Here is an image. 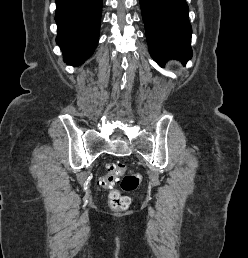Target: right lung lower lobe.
I'll return each instance as SVG.
<instances>
[{
	"label": "right lung lower lobe",
	"instance_id": "98d812e1",
	"mask_svg": "<svg viewBox=\"0 0 248 258\" xmlns=\"http://www.w3.org/2000/svg\"><path fill=\"white\" fill-rule=\"evenodd\" d=\"M102 0H56V41L68 65L78 66L97 46Z\"/></svg>",
	"mask_w": 248,
	"mask_h": 258
}]
</instances>
